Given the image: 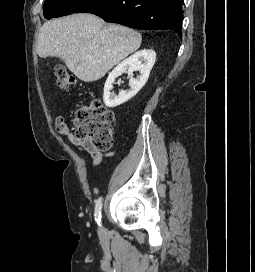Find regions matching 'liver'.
<instances>
[{
	"label": "liver",
	"mask_w": 255,
	"mask_h": 272,
	"mask_svg": "<svg viewBox=\"0 0 255 272\" xmlns=\"http://www.w3.org/2000/svg\"><path fill=\"white\" fill-rule=\"evenodd\" d=\"M141 41V34L128 27L106 25L93 14H72L42 25L37 53L62 58L75 76L93 82L136 51Z\"/></svg>",
	"instance_id": "liver-1"
}]
</instances>
